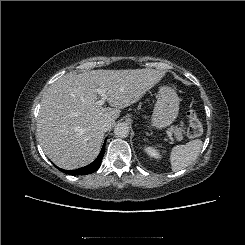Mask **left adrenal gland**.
Masks as SVG:
<instances>
[{"label": "left adrenal gland", "mask_w": 245, "mask_h": 245, "mask_svg": "<svg viewBox=\"0 0 245 245\" xmlns=\"http://www.w3.org/2000/svg\"><path fill=\"white\" fill-rule=\"evenodd\" d=\"M146 135L150 136V134L148 132H146Z\"/></svg>", "instance_id": "1"}]
</instances>
